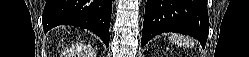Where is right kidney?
<instances>
[{
  "instance_id": "1",
  "label": "right kidney",
  "mask_w": 249,
  "mask_h": 57,
  "mask_svg": "<svg viewBox=\"0 0 249 57\" xmlns=\"http://www.w3.org/2000/svg\"><path fill=\"white\" fill-rule=\"evenodd\" d=\"M84 50H85V51H88L89 53L92 54V48H91V46L85 47ZM64 55H65L66 57H72V56L74 55V53H73V52H68V53H65Z\"/></svg>"
}]
</instances>
